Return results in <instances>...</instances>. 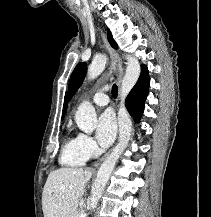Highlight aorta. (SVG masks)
Returning <instances> with one entry per match:
<instances>
[{
  "instance_id": "1",
  "label": "aorta",
  "mask_w": 211,
  "mask_h": 217,
  "mask_svg": "<svg viewBox=\"0 0 211 217\" xmlns=\"http://www.w3.org/2000/svg\"><path fill=\"white\" fill-rule=\"evenodd\" d=\"M127 68L120 89V103L118 110L119 140L111 154L101 164L96 180L92 186L90 197V209L94 210L101 197L102 191L114 170L115 164L126 149L132 132V121L125 107V99L136 84L141 68L139 61L130 55L125 56ZM107 58L97 55L88 67L87 77L89 80L97 78L105 69ZM75 121L78 127L86 134H91L97 125V115L93 105L86 101L77 109Z\"/></svg>"
}]
</instances>
